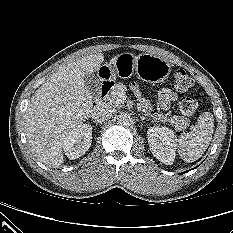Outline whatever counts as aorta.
Masks as SVG:
<instances>
[{
	"mask_svg": "<svg viewBox=\"0 0 233 233\" xmlns=\"http://www.w3.org/2000/svg\"><path fill=\"white\" fill-rule=\"evenodd\" d=\"M118 122L121 124V125H124V126H128L131 124L132 122V118L129 114L127 113H121L119 116H118Z\"/></svg>",
	"mask_w": 233,
	"mask_h": 233,
	"instance_id": "762f6f07",
	"label": "aorta"
}]
</instances>
